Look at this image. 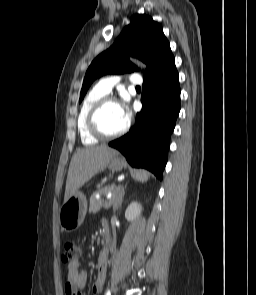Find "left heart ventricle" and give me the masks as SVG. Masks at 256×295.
<instances>
[{"mask_svg": "<svg viewBox=\"0 0 256 295\" xmlns=\"http://www.w3.org/2000/svg\"><path fill=\"white\" fill-rule=\"evenodd\" d=\"M126 120L117 103H108L98 116V123L106 133H115L121 130L126 124Z\"/></svg>", "mask_w": 256, "mask_h": 295, "instance_id": "1", "label": "left heart ventricle"}]
</instances>
